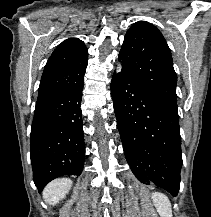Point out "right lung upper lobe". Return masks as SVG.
I'll return each instance as SVG.
<instances>
[{"label":"right lung upper lobe","instance_id":"right-lung-upper-lobe-1","mask_svg":"<svg viewBox=\"0 0 211 217\" xmlns=\"http://www.w3.org/2000/svg\"><path fill=\"white\" fill-rule=\"evenodd\" d=\"M87 63L88 51L81 40L70 38L63 41L46 63L37 101L73 86L85 73Z\"/></svg>","mask_w":211,"mask_h":217}]
</instances>
